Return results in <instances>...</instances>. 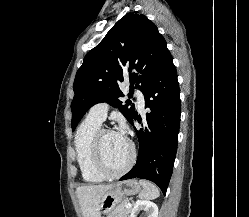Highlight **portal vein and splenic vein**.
<instances>
[{
    "instance_id": "1",
    "label": "portal vein and splenic vein",
    "mask_w": 249,
    "mask_h": 217,
    "mask_svg": "<svg viewBox=\"0 0 249 217\" xmlns=\"http://www.w3.org/2000/svg\"><path fill=\"white\" fill-rule=\"evenodd\" d=\"M132 207L131 203H127L126 208L130 209Z\"/></svg>"
}]
</instances>
